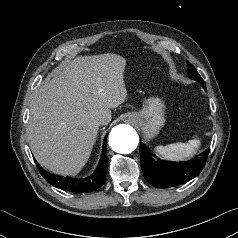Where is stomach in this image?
<instances>
[{
    "instance_id": "0dacf381",
    "label": "stomach",
    "mask_w": 238,
    "mask_h": 238,
    "mask_svg": "<svg viewBox=\"0 0 238 238\" xmlns=\"http://www.w3.org/2000/svg\"><path fill=\"white\" fill-rule=\"evenodd\" d=\"M164 102L158 97H151L145 101L142 110L127 113L126 117L136 124L147 139L155 137L164 125Z\"/></svg>"
}]
</instances>
